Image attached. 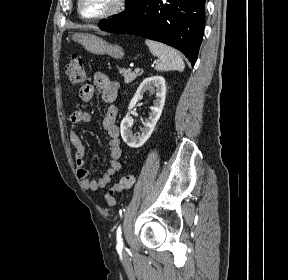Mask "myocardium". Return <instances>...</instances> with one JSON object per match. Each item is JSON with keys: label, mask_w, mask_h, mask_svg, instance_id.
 <instances>
[{"label": "myocardium", "mask_w": 288, "mask_h": 280, "mask_svg": "<svg viewBox=\"0 0 288 280\" xmlns=\"http://www.w3.org/2000/svg\"><path fill=\"white\" fill-rule=\"evenodd\" d=\"M82 3H83V0H77V13L79 17L85 21L95 22V21L108 19L110 17H113L121 13L126 7L127 0H116L113 7H111L109 10L103 12L102 14L92 16V17L86 16L83 14Z\"/></svg>", "instance_id": "1"}]
</instances>
